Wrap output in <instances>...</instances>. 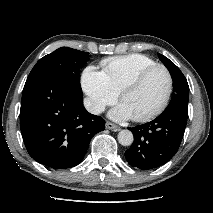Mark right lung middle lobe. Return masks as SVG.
Masks as SVG:
<instances>
[{"label": "right lung middle lobe", "mask_w": 213, "mask_h": 213, "mask_svg": "<svg viewBox=\"0 0 213 213\" xmlns=\"http://www.w3.org/2000/svg\"><path fill=\"white\" fill-rule=\"evenodd\" d=\"M89 59V53L61 47L41 58L31 70L27 79L47 75L56 77L76 92L82 93L79 70Z\"/></svg>", "instance_id": "obj_1"}]
</instances>
